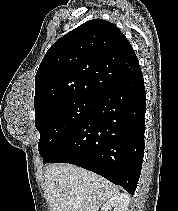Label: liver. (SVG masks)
Segmentation results:
<instances>
[{"mask_svg": "<svg viewBox=\"0 0 178 211\" xmlns=\"http://www.w3.org/2000/svg\"><path fill=\"white\" fill-rule=\"evenodd\" d=\"M44 180L51 211H98L119 194L105 178L71 164L47 166Z\"/></svg>", "mask_w": 178, "mask_h": 211, "instance_id": "liver-1", "label": "liver"}]
</instances>
